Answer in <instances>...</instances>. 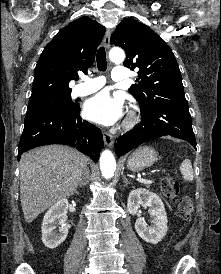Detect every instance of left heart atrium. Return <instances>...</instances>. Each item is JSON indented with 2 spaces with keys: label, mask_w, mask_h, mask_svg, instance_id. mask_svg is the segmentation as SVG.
<instances>
[{
  "label": "left heart atrium",
  "mask_w": 221,
  "mask_h": 274,
  "mask_svg": "<svg viewBox=\"0 0 221 274\" xmlns=\"http://www.w3.org/2000/svg\"><path fill=\"white\" fill-rule=\"evenodd\" d=\"M123 109L122 97L103 91L86 101L84 115L90 121L109 126L121 118Z\"/></svg>",
  "instance_id": "obj_1"
}]
</instances>
